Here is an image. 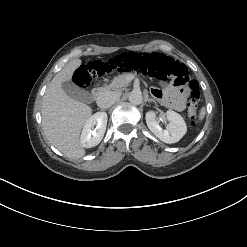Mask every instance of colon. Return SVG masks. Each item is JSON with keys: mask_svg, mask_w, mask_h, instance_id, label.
Returning a JSON list of instances; mask_svg holds the SVG:
<instances>
[{"mask_svg": "<svg viewBox=\"0 0 247 247\" xmlns=\"http://www.w3.org/2000/svg\"><path fill=\"white\" fill-rule=\"evenodd\" d=\"M110 72H138L163 81H172L185 87V98L191 124L196 123L200 92L198 82L190 77L187 67L174 58L162 53L128 52L107 61H93L80 67L74 80L80 87Z\"/></svg>", "mask_w": 247, "mask_h": 247, "instance_id": "5ec220e1", "label": "colon"}]
</instances>
